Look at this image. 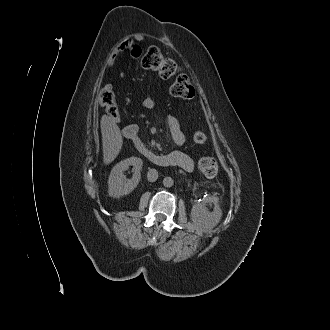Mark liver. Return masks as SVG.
Listing matches in <instances>:
<instances>
[{
  "mask_svg": "<svg viewBox=\"0 0 330 330\" xmlns=\"http://www.w3.org/2000/svg\"><path fill=\"white\" fill-rule=\"evenodd\" d=\"M100 126L103 143V161L105 164H109L119 154L123 139L118 125L108 116H102Z\"/></svg>",
  "mask_w": 330,
  "mask_h": 330,
  "instance_id": "liver-1",
  "label": "liver"
}]
</instances>
